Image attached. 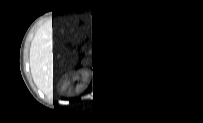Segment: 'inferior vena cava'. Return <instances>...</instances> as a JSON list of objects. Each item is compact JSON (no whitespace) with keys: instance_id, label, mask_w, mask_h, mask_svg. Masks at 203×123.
<instances>
[{"instance_id":"obj_1","label":"inferior vena cava","mask_w":203,"mask_h":123,"mask_svg":"<svg viewBox=\"0 0 203 123\" xmlns=\"http://www.w3.org/2000/svg\"><path fill=\"white\" fill-rule=\"evenodd\" d=\"M81 63L84 67L89 68L92 66V59H91V57H87V58L83 59Z\"/></svg>"}]
</instances>
